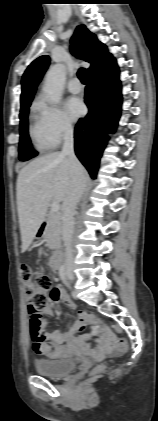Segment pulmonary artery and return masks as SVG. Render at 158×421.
Wrapping results in <instances>:
<instances>
[{
	"label": "pulmonary artery",
	"mask_w": 158,
	"mask_h": 421,
	"mask_svg": "<svg viewBox=\"0 0 158 421\" xmlns=\"http://www.w3.org/2000/svg\"><path fill=\"white\" fill-rule=\"evenodd\" d=\"M68 89L70 92L72 93H79L82 90V85L79 81L78 78H73L69 84H68Z\"/></svg>",
	"instance_id": "obj_1"
}]
</instances>
